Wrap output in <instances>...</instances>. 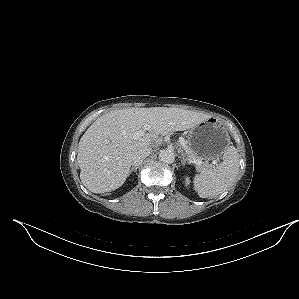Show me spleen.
<instances>
[{
	"instance_id": "1",
	"label": "spleen",
	"mask_w": 299,
	"mask_h": 299,
	"mask_svg": "<svg viewBox=\"0 0 299 299\" xmlns=\"http://www.w3.org/2000/svg\"><path fill=\"white\" fill-rule=\"evenodd\" d=\"M239 170V155L234 146L223 154V161L212 169H204L195 175L194 189L201 198L216 197L226 191L235 181Z\"/></svg>"
}]
</instances>
